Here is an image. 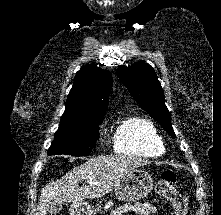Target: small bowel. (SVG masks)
Wrapping results in <instances>:
<instances>
[{
    "mask_svg": "<svg viewBox=\"0 0 221 215\" xmlns=\"http://www.w3.org/2000/svg\"><path fill=\"white\" fill-rule=\"evenodd\" d=\"M130 212L139 215H154L156 213V207L151 203L126 204L117 208L112 215H125Z\"/></svg>",
    "mask_w": 221,
    "mask_h": 215,
    "instance_id": "1",
    "label": "small bowel"
}]
</instances>
